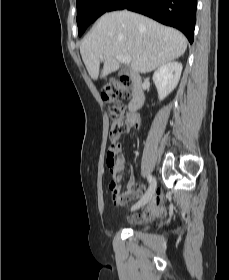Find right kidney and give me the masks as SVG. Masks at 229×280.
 Listing matches in <instances>:
<instances>
[{"instance_id":"1","label":"right kidney","mask_w":229,"mask_h":280,"mask_svg":"<svg viewBox=\"0 0 229 280\" xmlns=\"http://www.w3.org/2000/svg\"><path fill=\"white\" fill-rule=\"evenodd\" d=\"M181 72L182 64L178 62H169L155 71L153 82L157 88L160 101L176 88Z\"/></svg>"}]
</instances>
